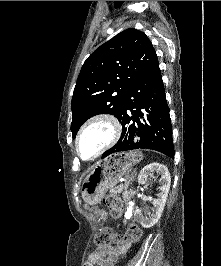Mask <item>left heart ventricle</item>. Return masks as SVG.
Returning <instances> with one entry per match:
<instances>
[{
    "label": "left heart ventricle",
    "instance_id": "b2bd125f",
    "mask_svg": "<svg viewBox=\"0 0 221 266\" xmlns=\"http://www.w3.org/2000/svg\"><path fill=\"white\" fill-rule=\"evenodd\" d=\"M111 128L106 122L91 125L81 136L79 150L84 158L95 155L110 139Z\"/></svg>",
    "mask_w": 221,
    "mask_h": 266
}]
</instances>
